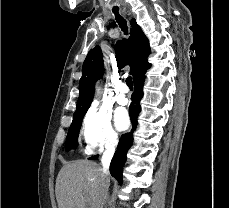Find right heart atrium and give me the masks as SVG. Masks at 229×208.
Listing matches in <instances>:
<instances>
[{"label":"right heart atrium","mask_w":229,"mask_h":208,"mask_svg":"<svg viewBox=\"0 0 229 208\" xmlns=\"http://www.w3.org/2000/svg\"><path fill=\"white\" fill-rule=\"evenodd\" d=\"M81 138L87 152L101 151L118 143V134L112 123L110 113L102 107H90L81 125Z\"/></svg>","instance_id":"1"}]
</instances>
